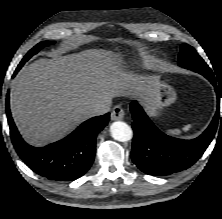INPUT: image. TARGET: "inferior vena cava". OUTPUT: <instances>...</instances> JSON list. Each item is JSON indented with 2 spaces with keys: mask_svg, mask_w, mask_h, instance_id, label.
Returning <instances> with one entry per match:
<instances>
[{
  "mask_svg": "<svg viewBox=\"0 0 222 219\" xmlns=\"http://www.w3.org/2000/svg\"><path fill=\"white\" fill-rule=\"evenodd\" d=\"M111 101L106 103L96 104L90 110L89 113L91 116L103 115L110 111Z\"/></svg>",
  "mask_w": 222,
  "mask_h": 219,
  "instance_id": "obj_1",
  "label": "inferior vena cava"
}]
</instances>
